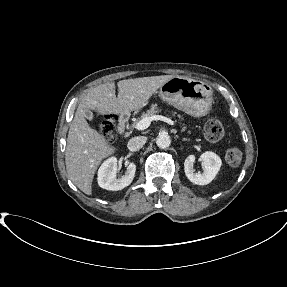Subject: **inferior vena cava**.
I'll return each mask as SVG.
<instances>
[{
    "label": "inferior vena cava",
    "mask_w": 287,
    "mask_h": 287,
    "mask_svg": "<svg viewBox=\"0 0 287 287\" xmlns=\"http://www.w3.org/2000/svg\"><path fill=\"white\" fill-rule=\"evenodd\" d=\"M146 142V138L143 136L133 137L128 141L127 148L131 152L138 151L141 149Z\"/></svg>",
    "instance_id": "obj_1"
}]
</instances>
